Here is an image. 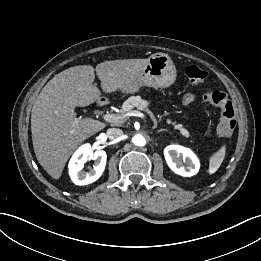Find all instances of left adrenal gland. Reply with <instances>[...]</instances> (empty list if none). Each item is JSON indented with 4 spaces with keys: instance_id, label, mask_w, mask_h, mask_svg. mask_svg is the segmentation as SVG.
<instances>
[{
    "instance_id": "left-adrenal-gland-1",
    "label": "left adrenal gland",
    "mask_w": 261,
    "mask_h": 261,
    "mask_svg": "<svg viewBox=\"0 0 261 261\" xmlns=\"http://www.w3.org/2000/svg\"><path fill=\"white\" fill-rule=\"evenodd\" d=\"M163 131H167L166 129H161V130H158V133L159 132H163Z\"/></svg>"
}]
</instances>
